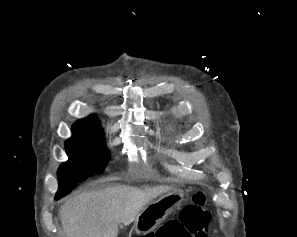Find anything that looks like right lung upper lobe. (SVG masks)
Listing matches in <instances>:
<instances>
[{
    "mask_svg": "<svg viewBox=\"0 0 297 237\" xmlns=\"http://www.w3.org/2000/svg\"><path fill=\"white\" fill-rule=\"evenodd\" d=\"M73 127L72 131L82 133H96L102 130L99 120L93 116L77 121Z\"/></svg>",
    "mask_w": 297,
    "mask_h": 237,
    "instance_id": "obj_1",
    "label": "right lung upper lobe"
}]
</instances>
